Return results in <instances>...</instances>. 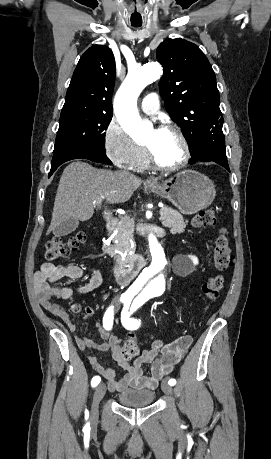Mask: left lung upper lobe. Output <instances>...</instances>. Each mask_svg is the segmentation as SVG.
<instances>
[{"mask_svg": "<svg viewBox=\"0 0 271 459\" xmlns=\"http://www.w3.org/2000/svg\"><path fill=\"white\" fill-rule=\"evenodd\" d=\"M156 56L164 73L160 93L170 117L181 127L191 160L205 147V136L223 125L215 73L203 52L184 39L162 42Z\"/></svg>", "mask_w": 271, "mask_h": 459, "instance_id": "left-lung-upper-lobe-1", "label": "left lung upper lobe"}]
</instances>
